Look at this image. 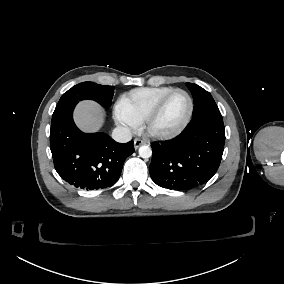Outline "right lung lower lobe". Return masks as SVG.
I'll return each mask as SVG.
<instances>
[{
	"label": "right lung lower lobe",
	"instance_id": "right-lung-lower-lobe-1",
	"mask_svg": "<svg viewBox=\"0 0 284 284\" xmlns=\"http://www.w3.org/2000/svg\"><path fill=\"white\" fill-rule=\"evenodd\" d=\"M76 104L63 106L52 116L50 148L55 169L79 189L110 187L119 179L125 159L134 152L133 141L121 144L105 133H83L73 121Z\"/></svg>",
	"mask_w": 284,
	"mask_h": 284
}]
</instances>
